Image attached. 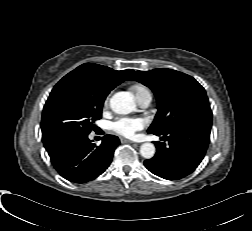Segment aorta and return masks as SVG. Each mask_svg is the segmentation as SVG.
<instances>
[{
	"label": "aorta",
	"instance_id": "aorta-1",
	"mask_svg": "<svg viewBox=\"0 0 252 231\" xmlns=\"http://www.w3.org/2000/svg\"><path fill=\"white\" fill-rule=\"evenodd\" d=\"M110 107L117 114H128L136 105L133 96L128 92H117L110 99ZM140 154L145 159H151L155 154V146L152 143H143L140 146Z\"/></svg>",
	"mask_w": 252,
	"mask_h": 231
}]
</instances>
